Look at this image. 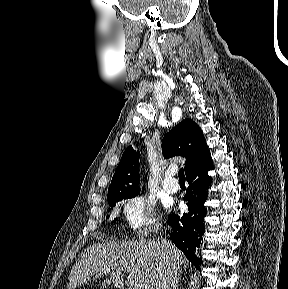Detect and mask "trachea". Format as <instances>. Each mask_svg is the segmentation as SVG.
<instances>
[{
    "label": "trachea",
    "mask_w": 288,
    "mask_h": 289,
    "mask_svg": "<svg viewBox=\"0 0 288 289\" xmlns=\"http://www.w3.org/2000/svg\"><path fill=\"white\" fill-rule=\"evenodd\" d=\"M178 177H179V180L180 181H184L185 180V175H184V169L181 168L179 171H178Z\"/></svg>",
    "instance_id": "3493384b"
}]
</instances>
